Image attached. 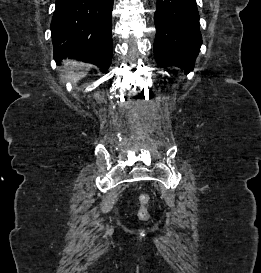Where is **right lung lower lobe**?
<instances>
[{
	"label": "right lung lower lobe",
	"instance_id": "obj_1",
	"mask_svg": "<svg viewBox=\"0 0 261 273\" xmlns=\"http://www.w3.org/2000/svg\"><path fill=\"white\" fill-rule=\"evenodd\" d=\"M113 0H56L51 22L54 58L69 57L97 65L111 64Z\"/></svg>",
	"mask_w": 261,
	"mask_h": 273
}]
</instances>
